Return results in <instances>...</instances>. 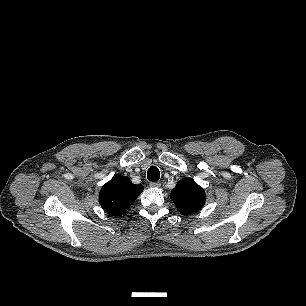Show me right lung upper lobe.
Segmentation results:
<instances>
[{
    "instance_id": "1",
    "label": "right lung upper lobe",
    "mask_w": 306,
    "mask_h": 306,
    "mask_svg": "<svg viewBox=\"0 0 306 306\" xmlns=\"http://www.w3.org/2000/svg\"><path fill=\"white\" fill-rule=\"evenodd\" d=\"M142 185H135L127 177L116 176L104 184L99 202L102 208L112 216H121L143 191Z\"/></svg>"
}]
</instances>
